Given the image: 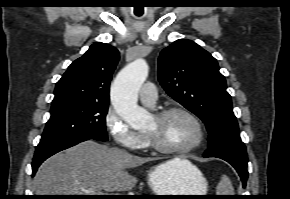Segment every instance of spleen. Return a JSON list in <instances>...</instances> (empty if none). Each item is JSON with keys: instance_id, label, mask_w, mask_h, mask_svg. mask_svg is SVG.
Here are the masks:
<instances>
[{"instance_id": "1", "label": "spleen", "mask_w": 290, "mask_h": 199, "mask_svg": "<svg viewBox=\"0 0 290 199\" xmlns=\"http://www.w3.org/2000/svg\"><path fill=\"white\" fill-rule=\"evenodd\" d=\"M217 195H234V189L230 179L223 175L217 186Z\"/></svg>"}]
</instances>
